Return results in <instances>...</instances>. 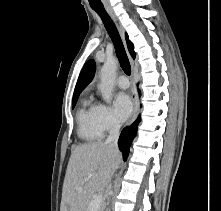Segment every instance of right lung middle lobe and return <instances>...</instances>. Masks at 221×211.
I'll list each match as a JSON object with an SVG mask.
<instances>
[{
  "instance_id": "dd1d6c3e",
  "label": "right lung middle lobe",
  "mask_w": 221,
  "mask_h": 211,
  "mask_svg": "<svg viewBox=\"0 0 221 211\" xmlns=\"http://www.w3.org/2000/svg\"><path fill=\"white\" fill-rule=\"evenodd\" d=\"M78 97H79V96L73 97V100H72V108L75 107Z\"/></svg>"
}]
</instances>
